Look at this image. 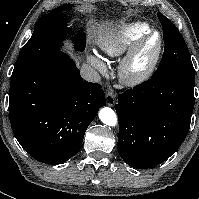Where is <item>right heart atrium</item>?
<instances>
[{"label": "right heart atrium", "instance_id": "right-heart-atrium-1", "mask_svg": "<svg viewBox=\"0 0 199 199\" xmlns=\"http://www.w3.org/2000/svg\"><path fill=\"white\" fill-rule=\"evenodd\" d=\"M89 63L99 71H104L105 66L98 55L89 56Z\"/></svg>", "mask_w": 199, "mask_h": 199}]
</instances>
